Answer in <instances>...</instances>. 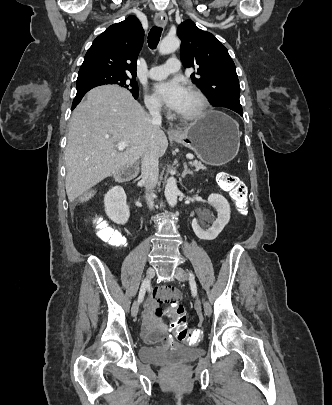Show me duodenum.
Wrapping results in <instances>:
<instances>
[{
    "label": "duodenum",
    "instance_id": "obj_1",
    "mask_svg": "<svg viewBox=\"0 0 332 405\" xmlns=\"http://www.w3.org/2000/svg\"><path fill=\"white\" fill-rule=\"evenodd\" d=\"M134 173L133 172H126L120 175L119 181L120 182H128L133 179Z\"/></svg>",
    "mask_w": 332,
    "mask_h": 405
}]
</instances>
